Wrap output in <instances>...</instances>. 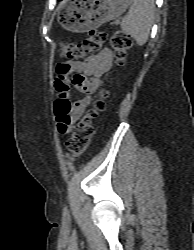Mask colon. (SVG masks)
<instances>
[{
    "mask_svg": "<svg viewBox=\"0 0 194 250\" xmlns=\"http://www.w3.org/2000/svg\"><path fill=\"white\" fill-rule=\"evenodd\" d=\"M109 40L114 49L116 62L120 65L123 63L127 50L131 46L130 36L121 31L113 32L108 35L99 30H92L88 32L84 42H67L62 45L61 53L63 57L69 59L84 58L87 54L99 50L106 41ZM108 96L107 90H102L99 96L95 99L93 106L89 109L82 119L75 126L70 139L66 143L67 151L70 157H77L81 155L88 147L91 137L94 132L93 121L98 114L105 110V99ZM55 109L60 111L62 109L60 101L56 102Z\"/></svg>",
    "mask_w": 194,
    "mask_h": 250,
    "instance_id": "5ec220e1",
    "label": "colon"
}]
</instances>
